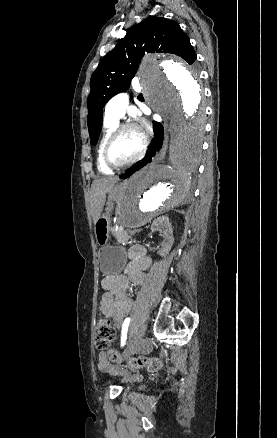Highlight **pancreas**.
<instances>
[{"mask_svg": "<svg viewBox=\"0 0 277 438\" xmlns=\"http://www.w3.org/2000/svg\"><path fill=\"white\" fill-rule=\"evenodd\" d=\"M115 236L118 237V240H120V242H125V238L127 236V232L125 228H116L115 229Z\"/></svg>", "mask_w": 277, "mask_h": 438, "instance_id": "1", "label": "pancreas"}]
</instances>
